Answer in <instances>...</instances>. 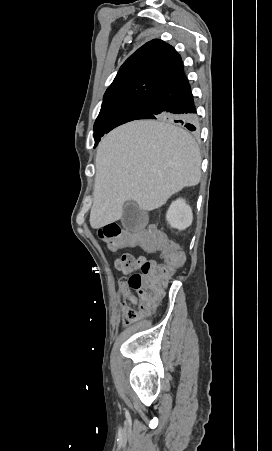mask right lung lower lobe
<instances>
[{
	"label": "right lung lower lobe",
	"instance_id": "98d812e1",
	"mask_svg": "<svg viewBox=\"0 0 272 451\" xmlns=\"http://www.w3.org/2000/svg\"><path fill=\"white\" fill-rule=\"evenodd\" d=\"M196 113L191 87L182 70L150 97L148 108L135 120H173L194 131L197 128Z\"/></svg>",
	"mask_w": 272,
	"mask_h": 451
}]
</instances>
